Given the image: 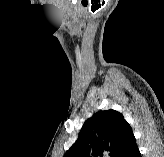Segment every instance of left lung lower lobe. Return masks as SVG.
Here are the masks:
<instances>
[{
  "instance_id": "left-lung-lower-lobe-1",
  "label": "left lung lower lobe",
  "mask_w": 164,
  "mask_h": 157,
  "mask_svg": "<svg viewBox=\"0 0 164 157\" xmlns=\"http://www.w3.org/2000/svg\"><path fill=\"white\" fill-rule=\"evenodd\" d=\"M116 157H141L134 135L120 149Z\"/></svg>"
}]
</instances>
